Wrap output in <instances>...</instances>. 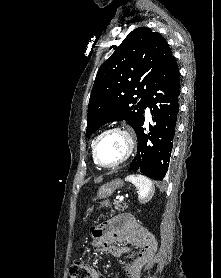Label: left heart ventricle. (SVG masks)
<instances>
[{
  "mask_svg": "<svg viewBox=\"0 0 221 278\" xmlns=\"http://www.w3.org/2000/svg\"><path fill=\"white\" fill-rule=\"evenodd\" d=\"M96 152L100 163L104 165L114 164L125 155L126 140L119 133H108L99 140Z\"/></svg>",
  "mask_w": 221,
  "mask_h": 278,
  "instance_id": "obj_1",
  "label": "left heart ventricle"
}]
</instances>
